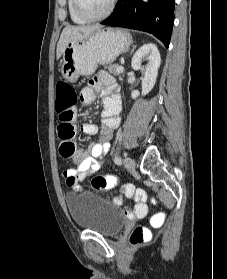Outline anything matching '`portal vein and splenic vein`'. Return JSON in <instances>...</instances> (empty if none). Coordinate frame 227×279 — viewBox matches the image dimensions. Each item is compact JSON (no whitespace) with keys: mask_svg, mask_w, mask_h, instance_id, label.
<instances>
[{"mask_svg":"<svg viewBox=\"0 0 227 279\" xmlns=\"http://www.w3.org/2000/svg\"><path fill=\"white\" fill-rule=\"evenodd\" d=\"M116 70H117V72L122 73L124 71V67L118 66Z\"/></svg>","mask_w":227,"mask_h":279,"instance_id":"18ae733b","label":"portal vein and splenic vein"}]
</instances>
